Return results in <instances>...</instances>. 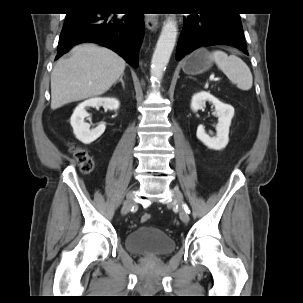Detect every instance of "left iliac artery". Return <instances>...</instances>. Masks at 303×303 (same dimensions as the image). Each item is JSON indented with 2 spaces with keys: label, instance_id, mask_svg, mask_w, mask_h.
<instances>
[{
  "label": "left iliac artery",
  "instance_id": "44dca946",
  "mask_svg": "<svg viewBox=\"0 0 303 303\" xmlns=\"http://www.w3.org/2000/svg\"><path fill=\"white\" fill-rule=\"evenodd\" d=\"M183 208L185 209V211L187 212V213H190V210H189V207L187 206V204H183Z\"/></svg>",
  "mask_w": 303,
  "mask_h": 303
}]
</instances>
